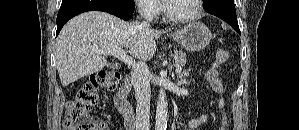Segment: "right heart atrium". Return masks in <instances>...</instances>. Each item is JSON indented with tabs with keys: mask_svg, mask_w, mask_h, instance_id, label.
<instances>
[{
	"mask_svg": "<svg viewBox=\"0 0 299 130\" xmlns=\"http://www.w3.org/2000/svg\"><path fill=\"white\" fill-rule=\"evenodd\" d=\"M139 12L148 19L156 18L161 12V6L157 0L136 1Z\"/></svg>",
	"mask_w": 299,
	"mask_h": 130,
	"instance_id": "1",
	"label": "right heart atrium"
}]
</instances>
